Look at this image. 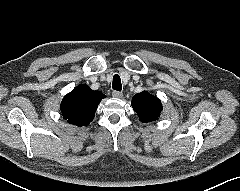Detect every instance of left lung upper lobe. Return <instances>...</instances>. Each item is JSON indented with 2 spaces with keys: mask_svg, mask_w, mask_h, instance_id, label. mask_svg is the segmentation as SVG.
I'll return each mask as SVG.
<instances>
[{
  "mask_svg": "<svg viewBox=\"0 0 240 191\" xmlns=\"http://www.w3.org/2000/svg\"><path fill=\"white\" fill-rule=\"evenodd\" d=\"M132 107L143 123L158 120L163 109L161 101L147 91L133 97Z\"/></svg>",
  "mask_w": 240,
  "mask_h": 191,
  "instance_id": "5c2ea615",
  "label": "left lung upper lobe"
}]
</instances>
